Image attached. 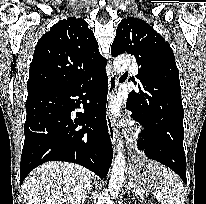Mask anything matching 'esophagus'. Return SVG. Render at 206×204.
Instances as JSON below:
<instances>
[{"mask_svg":"<svg viewBox=\"0 0 206 204\" xmlns=\"http://www.w3.org/2000/svg\"><path fill=\"white\" fill-rule=\"evenodd\" d=\"M118 87V76L115 72H112L109 77V84H108V100H111L112 97L115 95ZM107 127L111 142L113 144L114 150L117 141V130L115 127L114 119L108 114L107 115Z\"/></svg>","mask_w":206,"mask_h":204,"instance_id":"34e87169","label":"esophagus"}]
</instances>
